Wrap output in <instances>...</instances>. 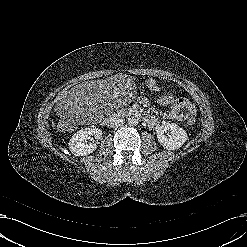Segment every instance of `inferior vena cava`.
Listing matches in <instances>:
<instances>
[{
  "label": "inferior vena cava",
  "instance_id": "inferior-vena-cava-1",
  "mask_svg": "<svg viewBox=\"0 0 247 247\" xmlns=\"http://www.w3.org/2000/svg\"><path fill=\"white\" fill-rule=\"evenodd\" d=\"M109 123H110V126L111 127H118V126H121L125 123V119L116 115V114H113L110 118H109Z\"/></svg>",
  "mask_w": 247,
  "mask_h": 247
}]
</instances>
